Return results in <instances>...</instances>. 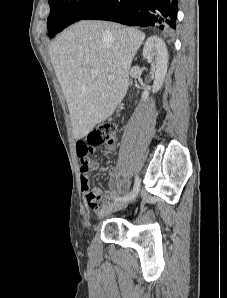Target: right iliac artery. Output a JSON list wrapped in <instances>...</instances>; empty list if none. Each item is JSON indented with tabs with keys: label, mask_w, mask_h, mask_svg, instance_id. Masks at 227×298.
Wrapping results in <instances>:
<instances>
[{
	"label": "right iliac artery",
	"mask_w": 227,
	"mask_h": 298,
	"mask_svg": "<svg viewBox=\"0 0 227 298\" xmlns=\"http://www.w3.org/2000/svg\"><path fill=\"white\" fill-rule=\"evenodd\" d=\"M139 187H140V179L138 176H136L133 190L128 195H126L124 197H116V198H114V200L115 201H129V200L134 199L136 197V195L138 194Z\"/></svg>",
	"instance_id": "82829eb1"
}]
</instances>
